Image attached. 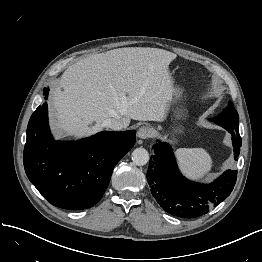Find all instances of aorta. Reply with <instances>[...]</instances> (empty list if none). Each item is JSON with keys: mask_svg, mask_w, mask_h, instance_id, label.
<instances>
[{"mask_svg": "<svg viewBox=\"0 0 262 262\" xmlns=\"http://www.w3.org/2000/svg\"><path fill=\"white\" fill-rule=\"evenodd\" d=\"M132 160L138 166H143L149 161V153L146 149L140 147L132 152Z\"/></svg>", "mask_w": 262, "mask_h": 262, "instance_id": "aorta-1", "label": "aorta"}]
</instances>
